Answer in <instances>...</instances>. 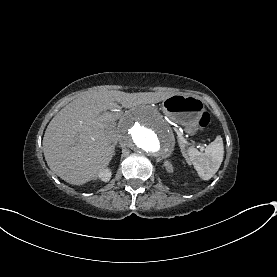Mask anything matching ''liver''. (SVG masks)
Listing matches in <instances>:
<instances>
[{"instance_id": "1", "label": "liver", "mask_w": 277, "mask_h": 277, "mask_svg": "<svg viewBox=\"0 0 277 277\" xmlns=\"http://www.w3.org/2000/svg\"><path fill=\"white\" fill-rule=\"evenodd\" d=\"M164 92L125 93L122 91L85 92L50 121L43 137V152L49 168L67 183L82 185L109 165L121 139L111 113L118 108L158 103L170 97Z\"/></svg>"}]
</instances>
